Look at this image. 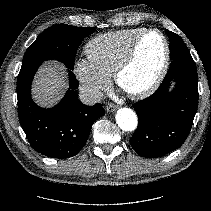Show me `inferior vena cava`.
I'll list each match as a JSON object with an SVG mask.
<instances>
[{
	"label": "inferior vena cava",
	"mask_w": 211,
	"mask_h": 211,
	"mask_svg": "<svg viewBox=\"0 0 211 211\" xmlns=\"http://www.w3.org/2000/svg\"><path fill=\"white\" fill-rule=\"evenodd\" d=\"M103 93L97 88L81 87L79 92V99L86 105H94L101 101Z\"/></svg>",
	"instance_id": "1"
}]
</instances>
